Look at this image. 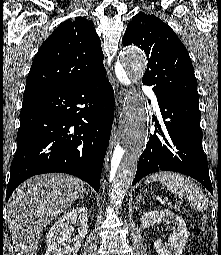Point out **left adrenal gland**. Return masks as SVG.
<instances>
[{"mask_svg":"<svg viewBox=\"0 0 221 255\" xmlns=\"http://www.w3.org/2000/svg\"><path fill=\"white\" fill-rule=\"evenodd\" d=\"M139 200H143V196L141 194H139L136 198V202H138Z\"/></svg>","mask_w":221,"mask_h":255,"instance_id":"left-adrenal-gland-1","label":"left adrenal gland"}]
</instances>
